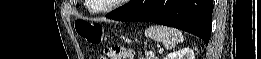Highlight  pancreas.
Segmentation results:
<instances>
[{
    "mask_svg": "<svg viewBox=\"0 0 261 59\" xmlns=\"http://www.w3.org/2000/svg\"><path fill=\"white\" fill-rule=\"evenodd\" d=\"M146 59H157V58H155V57H147Z\"/></svg>",
    "mask_w": 261,
    "mask_h": 59,
    "instance_id": "pancreas-1",
    "label": "pancreas"
}]
</instances>
